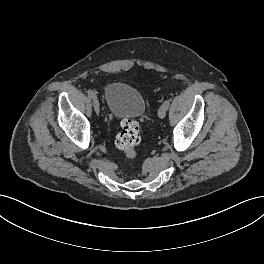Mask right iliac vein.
<instances>
[{
	"label": "right iliac vein",
	"mask_w": 264,
	"mask_h": 264,
	"mask_svg": "<svg viewBox=\"0 0 264 264\" xmlns=\"http://www.w3.org/2000/svg\"><path fill=\"white\" fill-rule=\"evenodd\" d=\"M93 107H94L95 112L97 114H99L100 105H99V101H98L97 97L93 98Z\"/></svg>",
	"instance_id": "obj_1"
}]
</instances>
